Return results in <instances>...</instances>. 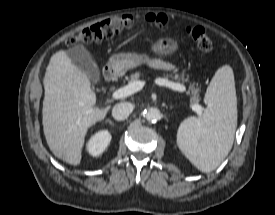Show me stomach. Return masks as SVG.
<instances>
[{
    "instance_id": "stomach-1",
    "label": "stomach",
    "mask_w": 275,
    "mask_h": 215,
    "mask_svg": "<svg viewBox=\"0 0 275 215\" xmlns=\"http://www.w3.org/2000/svg\"><path fill=\"white\" fill-rule=\"evenodd\" d=\"M179 49L177 41L170 38L160 39L153 47L155 53L159 55H171ZM148 62V58L133 54L119 53L113 55L107 63V72L115 76H121L128 70L138 67Z\"/></svg>"
}]
</instances>
